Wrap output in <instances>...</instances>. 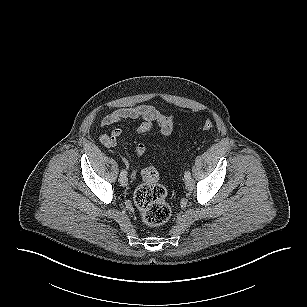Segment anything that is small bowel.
<instances>
[{
	"instance_id": "c3829d8e",
	"label": "small bowel",
	"mask_w": 307,
	"mask_h": 307,
	"mask_svg": "<svg viewBox=\"0 0 307 307\" xmlns=\"http://www.w3.org/2000/svg\"><path fill=\"white\" fill-rule=\"evenodd\" d=\"M132 120H141V123L134 130L135 135L146 134L151 132L155 127L159 130L162 136L167 137L172 133L174 120L172 116L161 113L152 105H140L133 108L117 109L101 120V126L107 127L118 122H127ZM123 131L119 128L113 129L109 133H104L100 136V142L107 148H112L117 144L118 139L122 136ZM147 152V146L143 143L135 147L137 156H142ZM122 160L130 170L131 177L137 175V169H131L127 158L122 157Z\"/></svg>"
}]
</instances>
